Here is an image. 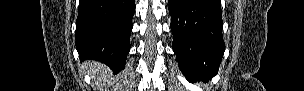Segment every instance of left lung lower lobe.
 I'll use <instances>...</instances> for the list:
<instances>
[{
  "instance_id": "1",
  "label": "left lung lower lobe",
  "mask_w": 304,
  "mask_h": 91,
  "mask_svg": "<svg viewBox=\"0 0 304 91\" xmlns=\"http://www.w3.org/2000/svg\"><path fill=\"white\" fill-rule=\"evenodd\" d=\"M172 48L188 80L218 73L225 51L220 0H169Z\"/></svg>"
}]
</instances>
